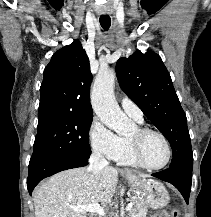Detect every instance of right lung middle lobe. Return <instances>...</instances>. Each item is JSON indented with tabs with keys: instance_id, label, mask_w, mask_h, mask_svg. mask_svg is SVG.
<instances>
[{
	"instance_id": "right-lung-middle-lobe-1",
	"label": "right lung middle lobe",
	"mask_w": 211,
	"mask_h": 217,
	"mask_svg": "<svg viewBox=\"0 0 211 217\" xmlns=\"http://www.w3.org/2000/svg\"><path fill=\"white\" fill-rule=\"evenodd\" d=\"M92 115L54 114L39 118L33 153L51 151L89 158Z\"/></svg>"
}]
</instances>
